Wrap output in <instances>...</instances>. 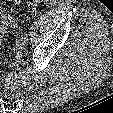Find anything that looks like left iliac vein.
Returning <instances> with one entry per match:
<instances>
[{
    "label": "left iliac vein",
    "mask_w": 113,
    "mask_h": 113,
    "mask_svg": "<svg viewBox=\"0 0 113 113\" xmlns=\"http://www.w3.org/2000/svg\"><path fill=\"white\" fill-rule=\"evenodd\" d=\"M25 42L21 39V40H19L17 43H16V47L18 48V49H22L24 46H25Z\"/></svg>",
    "instance_id": "obj_1"
}]
</instances>
